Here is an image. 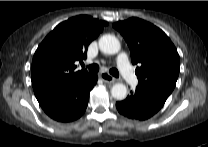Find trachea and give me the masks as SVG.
I'll return each mask as SVG.
<instances>
[{
  "label": "trachea",
  "mask_w": 208,
  "mask_h": 147,
  "mask_svg": "<svg viewBox=\"0 0 208 147\" xmlns=\"http://www.w3.org/2000/svg\"><path fill=\"white\" fill-rule=\"evenodd\" d=\"M84 67V65H82ZM88 70L90 73H97L99 71V66L97 64H91L88 67ZM110 74L115 76V77H119V72L117 69L115 68H111L109 70Z\"/></svg>",
  "instance_id": "trachea-1"
}]
</instances>
